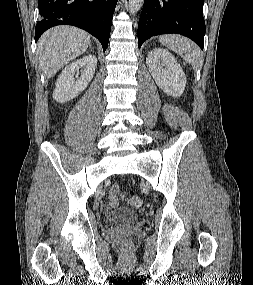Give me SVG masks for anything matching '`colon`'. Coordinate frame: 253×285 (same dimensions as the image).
I'll list each match as a JSON object with an SVG mask.
<instances>
[{
    "label": "colon",
    "mask_w": 253,
    "mask_h": 285,
    "mask_svg": "<svg viewBox=\"0 0 253 285\" xmlns=\"http://www.w3.org/2000/svg\"><path fill=\"white\" fill-rule=\"evenodd\" d=\"M127 203L134 208H138L142 205V199L138 196H130L126 198ZM125 246H129L130 245V241L129 240H125L124 242Z\"/></svg>",
    "instance_id": "5ec220e1"
}]
</instances>
